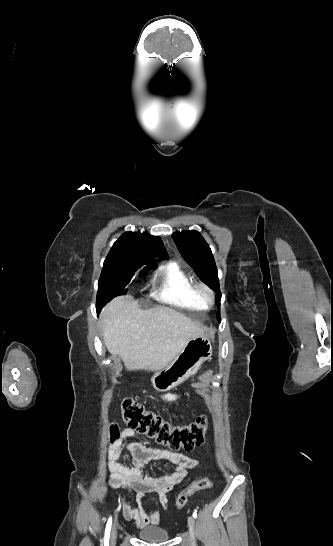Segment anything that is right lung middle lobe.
Wrapping results in <instances>:
<instances>
[{"instance_id":"obj_1","label":"right lung middle lobe","mask_w":333,"mask_h":546,"mask_svg":"<svg viewBox=\"0 0 333 546\" xmlns=\"http://www.w3.org/2000/svg\"><path fill=\"white\" fill-rule=\"evenodd\" d=\"M136 271L129 270L120 261L106 259L98 282L97 307L99 310L112 298L126 293L127 284Z\"/></svg>"}]
</instances>
